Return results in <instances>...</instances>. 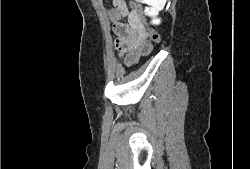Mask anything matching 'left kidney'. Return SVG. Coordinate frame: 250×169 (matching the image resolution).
<instances>
[{
	"instance_id": "obj_1",
	"label": "left kidney",
	"mask_w": 250,
	"mask_h": 169,
	"mask_svg": "<svg viewBox=\"0 0 250 169\" xmlns=\"http://www.w3.org/2000/svg\"><path fill=\"white\" fill-rule=\"evenodd\" d=\"M152 22L153 24H159L160 18H153Z\"/></svg>"
}]
</instances>
